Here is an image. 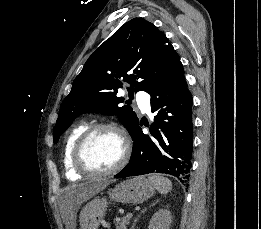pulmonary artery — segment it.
<instances>
[{"instance_id": "pulmonary-artery-1", "label": "pulmonary artery", "mask_w": 261, "mask_h": 229, "mask_svg": "<svg viewBox=\"0 0 261 229\" xmlns=\"http://www.w3.org/2000/svg\"><path fill=\"white\" fill-rule=\"evenodd\" d=\"M137 99H138V109L142 115H149L150 114V104H151V97L150 91H137Z\"/></svg>"}]
</instances>
